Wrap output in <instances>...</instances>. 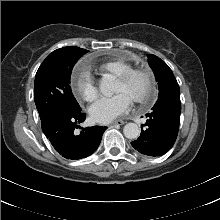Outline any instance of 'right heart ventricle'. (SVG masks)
I'll use <instances>...</instances> for the list:
<instances>
[{"label": "right heart ventricle", "mask_w": 220, "mask_h": 220, "mask_svg": "<svg viewBox=\"0 0 220 220\" xmlns=\"http://www.w3.org/2000/svg\"><path fill=\"white\" fill-rule=\"evenodd\" d=\"M132 64L123 59H115L102 63L98 67V71L101 75H112L114 77H119L125 71L130 69Z\"/></svg>", "instance_id": "obj_1"}]
</instances>
